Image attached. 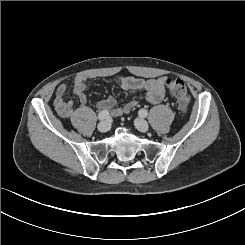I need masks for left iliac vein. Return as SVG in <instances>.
<instances>
[{
  "label": "left iliac vein",
  "instance_id": "left-iliac-vein-1",
  "mask_svg": "<svg viewBox=\"0 0 245 245\" xmlns=\"http://www.w3.org/2000/svg\"><path fill=\"white\" fill-rule=\"evenodd\" d=\"M134 124L136 126V128L143 132V133H146L148 131V128H149V125L147 123L146 120L142 119V118H137L135 121H134Z\"/></svg>",
  "mask_w": 245,
  "mask_h": 245
}]
</instances>
